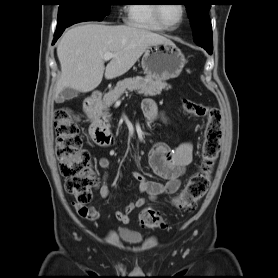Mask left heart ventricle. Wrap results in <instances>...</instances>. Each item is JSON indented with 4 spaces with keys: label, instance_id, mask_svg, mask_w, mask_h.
<instances>
[{
    "label": "left heart ventricle",
    "instance_id": "left-heart-ventricle-1",
    "mask_svg": "<svg viewBox=\"0 0 278 278\" xmlns=\"http://www.w3.org/2000/svg\"><path fill=\"white\" fill-rule=\"evenodd\" d=\"M160 12L168 25L175 26L181 18L182 9L180 4H167L161 6Z\"/></svg>",
    "mask_w": 278,
    "mask_h": 278
}]
</instances>
